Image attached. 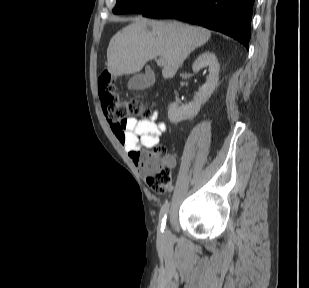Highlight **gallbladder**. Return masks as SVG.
Instances as JSON below:
<instances>
[{
	"mask_svg": "<svg viewBox=\"0 0 309 288\" xmlns=\"http://www.w3.org/2000/svg\"><path fill=\"white\" fill-rule=\"evenodd\" d=\"M154 73L147 68L145 74H134L128 81V88L131 90H144L154 83Z\"/></svg>",
	"mask_w": 309,
	"mask_h": 288,
	"instance_id": "bac80fb5",
	"label": "gallbladder"
}]
</instances>
